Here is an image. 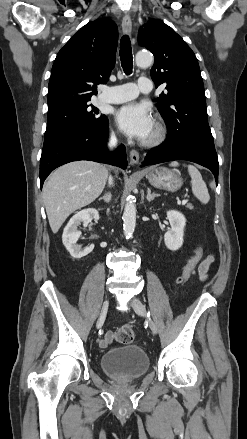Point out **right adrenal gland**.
I'll list each match as a JSON object with an SVG mask.
<instances>
[{"instance_id":"2a0ac1e0","label":"right adrenal gland","mask_w":247,"mask_h":439,"mask_svg":"<svg viewBox=\"0 0 247 439\" xmlns=\"http://www.w3.org/2000/svg\"><path fill=\"white\" fill-rule=\"evenodd\" d=\"M98 200H104L106 203H109L111 201V193L107 192L103 197H100Z\"/></svg>"}]
</instances>
